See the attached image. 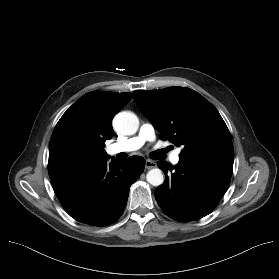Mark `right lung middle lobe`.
I'll return each instance as SVG.
<instances>
[{"label": "right lung middle lobe", "mask_w": 279, "mask_h": 279, "mask_svg": "<svg viewBox=\"0 0 279 279\" xmlns=\"http://www.w3.org/2000/svg\"><path fill=\"white\" fill-rule=\"evenodd\" d=\"M77 155H78V151L77 150H69L68 152H67V158H69V159H75L76 157H77Z\"/></svg>", "instance_id": "1"}]
</instances>
